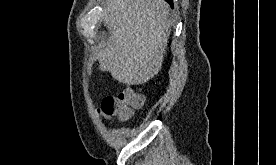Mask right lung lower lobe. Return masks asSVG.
<instances>
[{
  "instance_id": "1",
  "label": "right lung lower lobe",
  "mask_w": 276,
  "mask_h": 165,
  "mask_svg": "<svg viewBox=\"0 0 276 165\" xmlns=\"http://www.w3.org/2000/svg\"><path fill=\"white\" fill-rule=\"evenodd\" d=\"M166 1L169 2L171 4V6H172V0H166Z\"/></svg>"
}]
</instances>
